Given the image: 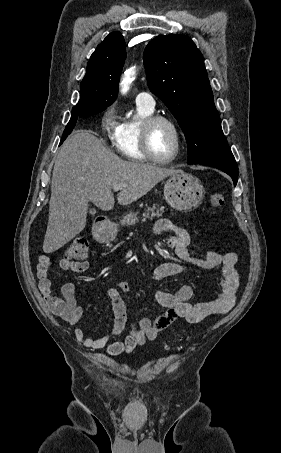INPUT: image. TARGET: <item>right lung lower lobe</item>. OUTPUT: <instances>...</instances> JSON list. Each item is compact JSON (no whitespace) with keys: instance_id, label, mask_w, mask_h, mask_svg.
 I'll list each match as a JSON object with an SVG mask.
<instances>
[{"instance_id":"right-lung-lower-lobe-1","label":"right lung lower lobe","mask_w":281,"mask_h":453,"mask_svg":"<svg viewBox=\"0 0 281 453\" xmlns=\"http://www.w3.org/2000/svg\"><path fill=\"white\" fill-rule=\"evenodd\" d=\"M100 112L101 111L96 110V109L91 108V107L80 108V109H72L71 119H70L69 123L67 124V126H66V128L64 130L60 145L67 138V136L72 132L73 128L75 127L77 118L79 116L89 117V116H92V115L100 113Z\"/></svg>"}]
</instances>
